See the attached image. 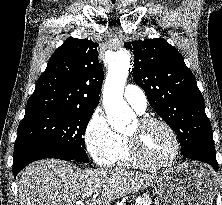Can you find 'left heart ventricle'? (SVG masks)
<instances>
[{
    "instance_id": "b2bd125f",
    "label": "left heart ventricle",
    "mask_w": 222,
    "mask_h": 205,
    "mask_svg": "<svg viewBox=\"0 0 222 205\" xmlns=\"http://www.w3.org/2000/svg\"><path fill=\"white\" fill-rule=\"evenodd\" d=\"M127 134L139 136L143 154L153 161H164L173 153V140L170 134L160 125L153 124L141 128L136 121Z\"/></svg>"
}]
</instances>
